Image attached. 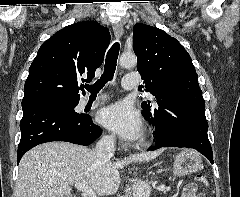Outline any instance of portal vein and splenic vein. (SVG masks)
<instances>
[{"label": "portal vein and splenic vein", "instance_id": "obj_1", "mask_svg": "<svg viewBox=\"0 0 240 197\" xmlns=\"http://www.w3.org/2000/svg\"><path fill=\"white\" fill-rule=\"evenodd\" d=\"M75 187L85 193L88 197H97L96 193L92 190L91 187L84 184H75Z\"/></svg>", "mask_w": 240, "mask_h": 197}]
</instances>
